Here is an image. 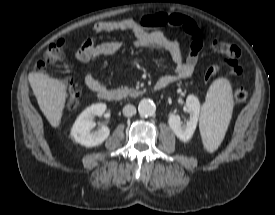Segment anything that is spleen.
I'll return each mask as SVG.
<instances>
[{
  "instance_id": "obj_1",
  "label": "spleen",
  "mask_w": 275,
  "mask_h": 215,
  "mask_svg": "<svg viewBox=\"0 0 275 215\" xmlns=\"http://www.w3.org/2000/svg\"><path fill=\"white\" fill-rule=\"evenodd\" d=\"M233 111V95L226 78L216 79L209 87L202 106L199 127L204 148L214 152L221 144Z\"/></svg>"
}]
</instances>
